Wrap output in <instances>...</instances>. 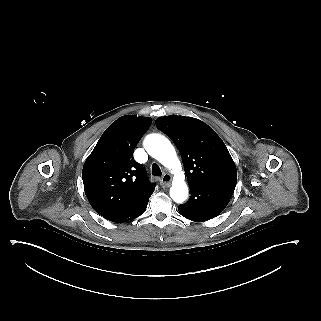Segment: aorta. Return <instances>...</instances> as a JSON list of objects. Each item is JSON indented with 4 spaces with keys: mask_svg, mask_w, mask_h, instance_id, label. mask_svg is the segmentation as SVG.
Segmentation results:
<instances>
[{
    "mask_svg": "<svg viewBox=\"0 0 321 321\" xmlns=\"http://www.w3.org/2000/svg\"><path fill=\"white\" fill-rule=\"evenodd\" d=\"M145 150L174 174L170 197L176 203H183L188 197V187L182 172L181 162L171 142L160 134L148 135L144 140Z\"/></svg>",
    "mask_w": 321,
    "mask_h": 321,
    "instance_id": "aorta-1",
    "label": "aorta"
}]
</instances>
